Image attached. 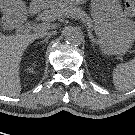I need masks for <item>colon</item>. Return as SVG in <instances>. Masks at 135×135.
Returning <instances> with one entry per match:
<instances>
[{
	"label": "colon",
	"instance_id": "1",
	"mask_svg": "<svg viewBox=\"0 0 135 135\" xmlns=\"http://www.w3.org/2000/svg\"><path fill=\"white\" fill-rule=\"evenodd\" d=\"M125 12L128 16L135 17V0H125Z\"/></svg>",
	"mask_w": 135,
	"mask_h": 135
}]
</instances>
